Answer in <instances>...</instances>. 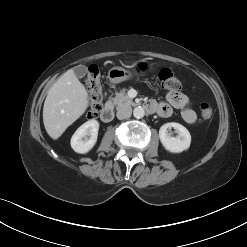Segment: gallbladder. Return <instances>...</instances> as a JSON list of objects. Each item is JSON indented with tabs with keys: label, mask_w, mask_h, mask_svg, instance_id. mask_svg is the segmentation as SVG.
Returning <instances> with one entry per match:
<instances>
[{
	"label": "gallbladder",
	"mask_w": 247,
	"mask_h": 247,
	"mask_svg": "<svg viewBox=\"0 0 247 247\" xmlns=\"http://www.w3.org/2000/svg\"><path fill=\"white\" fill-rule=\"evenodd\" d=\"M87 73V68L84 65H78L74 68V74L78 78H83Z\"/></svg>",
	"instance_id": "bac80fb5"
}]
</instances>
